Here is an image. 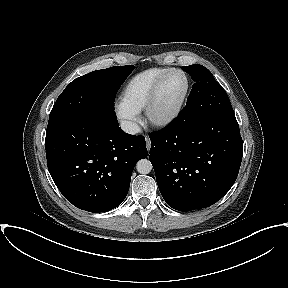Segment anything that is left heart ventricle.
Wrapping results in <instances>:
<instances>
[{"instance_id": "obj_1", "label": "left heart ventricle", "mask_w": 288, "mask_h": 288, "mask_svg": "<svg viewBox=\"0 0 288 288\" xmlns=\"http://www.w3.org/2000/svg\"><path fill=\"white\" fill-rule=\"evenodd\" d=\"M185 88V78L180 73L170 74L163 83L155 107V115L168 114L178 103Z\"/></svg>"}]
</instances>
